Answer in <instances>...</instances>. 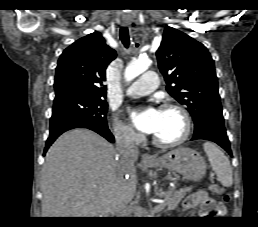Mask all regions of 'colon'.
<instances>
[{
  "label": "colon",
  "instance_id": "obj_1",
  "mask_svg": "<svg viewBox=\"0 0 258 227\" xmlns=\"http://www.w3.org/2000/svg\"><path fill=\"white\" fill-rule=\"evenodd\" d=\"M210 189L223 197V201L227 203L229 201V195L226 193L225 189L217 184L211 185Z\"/></svg>",
  "mask_w": 258,
  "mask_h": 227
}]
</instances>
